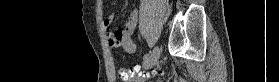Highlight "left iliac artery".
Listing matches in <instances>:
<instances>
[{
  "label": "left iliac artery",
  "instance_id": "obj_1",
  "mask_svg": "<svg viewBox=\"0 0 279 82\" xmlns=\"http://www.w3.org/2000/svg\"><path fill=\"white\" fill-rule=\"evenodd\" d=\"M148 58H149V54L147 53V54H145V56H144V61H147ZM135 70H140V66H136V67H135Z\"/></svg>",
  "mask_w": 279,
  "mask_h": 82
}]
</instances>
